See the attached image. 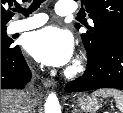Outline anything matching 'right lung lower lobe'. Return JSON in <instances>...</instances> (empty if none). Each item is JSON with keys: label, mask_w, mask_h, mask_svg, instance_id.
Here are the masks:
<instances>
[{"label": "right lung lower lobe", "mask_w": 123, "mask_h": 113, "mask_svg": "<svg viewBox=\"0 0 123 113\" xmlns=\"http://www.w3.org/2000/svg\"><path fill=\"white\" fill-rule=\"evenodd\" d=\"M30 79L31 71L19 46L1 48V89H22Z\"/></svg>", "instance_id": "1"}]
</instances>
